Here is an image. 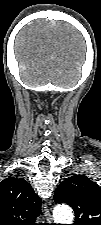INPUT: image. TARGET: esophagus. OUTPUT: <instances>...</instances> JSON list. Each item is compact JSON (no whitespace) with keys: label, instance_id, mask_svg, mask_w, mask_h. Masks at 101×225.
I'll return each mask as SVG.
<instances>
[{"label":"esophagus","instance_id":"esophagus-1","mask_svg":"<svg viewBox=\"0 0 101 225\" xmlns=\"http://www.w3.org/2000/svg\"><path fill=\"white\" fill-rule=\"evenodd\" d=\"M44 215H45V217H46V220L48 221V222H51L52 221V218H51V215H50V212H49V210H48V207H47V205H44Z\"/></svg>","mask_w":101,"mask_h":225}]
</instances>
